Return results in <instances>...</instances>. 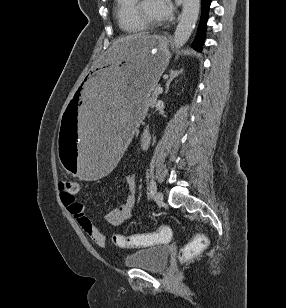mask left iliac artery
Returning <instances> with one entry per match:
<instances>
[{
  "mask_svg": "<svg viewBox=\"0 0 286 308\" xmlns=\"http://www.w3.org/2000/svg\"><path fill=\"white\" fill-rule=\"evenodd\" d=\"M156 189H157L156 183L153 180H151L149 183L150 196H153L155 194Z\"/></svg>",
  "mask_w": 286,
  "mask_h": 308,
  "instance_id": "1",
  "label": "left iliac artery"
}]
</instances>
